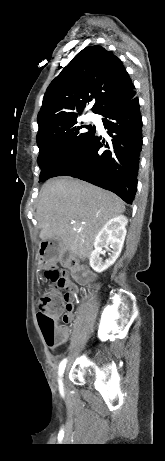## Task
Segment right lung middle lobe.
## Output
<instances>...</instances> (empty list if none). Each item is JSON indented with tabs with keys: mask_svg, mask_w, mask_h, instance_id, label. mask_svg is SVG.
Segmentation results:
<instances>
[{
	"mask_svg": "<svg viewBox=\"0 0 165 461\" xmlns=\"http://www.w3.org/2000/svg\"><path fill=\"white\" fill-rule=\"evenodd\" d=\"M87 128L88 131H84ZM95 126H79L77 118L55 126L36 138L39 147L37 162L41 168L40 182L51 178L90 139Z\"/></svg>",
	"mask_w": 165,
	"mask_h": 461,
	"instance_id": "obj_1",
	"label": "right lung middle lobe"
}]
</instances>
